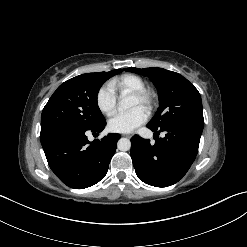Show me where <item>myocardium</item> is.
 Masks as SVG:
<instances>
[{
  "label": "myocardium",
  "mask_w": 247,
  "mask_h": 247,
  "mask_svg": "<svg viewBox=\"0 0 247 247\" xmlns=\"http://www.w3.org/2000/svg\"><path fill=\"white\" fill-rule=\"evenodd\" d=\"M132 97L136 98L141 107L150 112L156 104V95L149 89H143L132 93Z\"/></svg>",
  "instance_id": "1"
}]
</instances>
